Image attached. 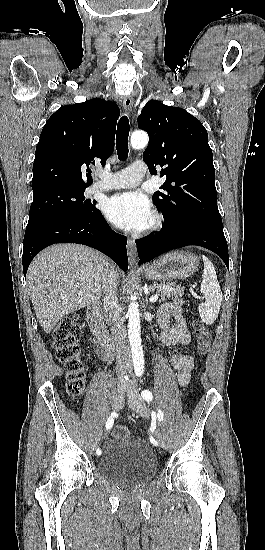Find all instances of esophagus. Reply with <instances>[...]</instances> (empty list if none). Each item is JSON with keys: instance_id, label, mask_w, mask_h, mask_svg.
<instances>
[{"instance_id": "esophagus-1", "label": "esophagus", "mask_w": 265, "mask_h": 550, "mask_svg": "<svg viewBox=\"0 0 265 550\" xmlns=\"http://www.w3.org/2000/svg\"><path fill=\"white\" fill-rule=\"evenodd\" d=\"M123 107L125 112L128 115H131L132 109H133V98L128 95L123 99ZM128 254L130 258L131 265H134L136 263V250H135V241L133 239H128Z\"/></svg>"}]
</instances>
